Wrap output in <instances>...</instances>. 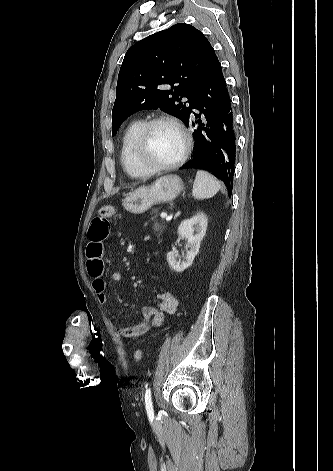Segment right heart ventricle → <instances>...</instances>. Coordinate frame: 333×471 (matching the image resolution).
<instances>
[{
    "label": "right heart ventricle",
    "instance_id": "1",
    "mask_svg": "<svg viewBox=\"0 0 333 471\" xmlns=\"http://www.w3.org/2000/svg\"><path fill=\"white\" fill-rule=\"evenodd\" d=\"M144 121L132 120L123 130L120 144V162L123 170L132 178H141L149 175L141 168L135 159V143Z\"/></svg>",
    "mask_w": 333,
    "mask_h": 471
}]
</instances>
